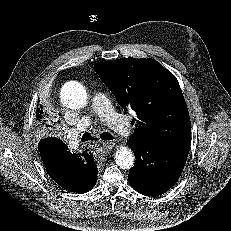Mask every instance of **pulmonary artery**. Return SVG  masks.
I'll return each mask as SVG.
<instances>
[{"mask_svg":"<svg viewBox=\"0 0 231 231\" xmlns=\"http://www.w3.org/2000/svg\"><path fill=\"white\" fill-rule=\"evenodd\" d=\"M91 108L110 128L124 136L130 134L132 128L129 121L115 111L106 94L102 91H96L93 94ZM90 124L91 119L89 116L82 117L76 128L72 129L71 135L76 131L88 128Z\"/></svg>","mask_w":231,"mask_h":231,"instance_id":"e3ab8cb5","label":"pulmonary artery"}]
</instances>
